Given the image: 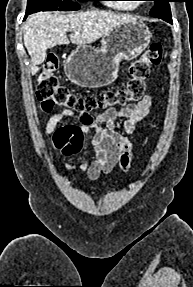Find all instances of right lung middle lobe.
Wrapping results in <instances>:
<instances>
[{
    "label": "right lung middle lobe",
    "mask_w": 193,
    "mask_h": 287,
    "mask_svg": "<svg viewBox=\"0 0 193 287\" xmlns=\"http://www.w3.org/2000/svg\"><path fill=\"white\" fill-rule=\"evenodd\" d=\"M77 1H96V0H77ZM80 6L72 0H28L27 14L39 11H69L78 10Z\"/></svg>",
    "instance_id": "dd1d6c3e"
}]
</instances>
